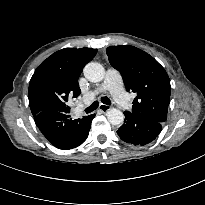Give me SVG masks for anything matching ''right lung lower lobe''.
Masks as SVG:
<instances>
[{
	"mask_svg": "<svg viewBox=\"0 0 205 205\" xmlns=\"http://www.w3.org/2000/svg\"><path fill=\"white\" fill-rule=\"evenodd\" d=\"M94 117L95 114H92L72 120L67 113L49 108L35 115L34 121L52 145L67 150L79 146L86 140Z\"/></svg>",
	"mask_w": 205,
	"mask_h": 205,
	"instance_id": "98d812e1",
	"label": "right lung lower lobe"
}]
</instances>
